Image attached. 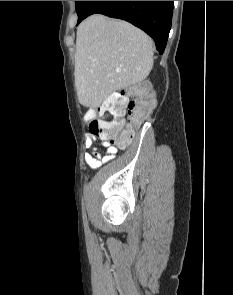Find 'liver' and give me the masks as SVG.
I'll list each match as a JSON object with an SVG mask.
<instances>
[{
	"instance_id": "obj_1",
	"label": "liver",
	"mask_w": 233,
	"mask_h": 295,
	"mask_svg": "<svg viewBox=\"0 0 233 295\" xmlns=\"http://www.w3.org/2000/svg\"><path fill=\"white\" fill-rule=\"evenodd\" d=\"M153 67V41L132 24L94 14L77 29L75 87L79 102L99 107L118 90L142 82Z\"/></svg>"
}]
</instances>
